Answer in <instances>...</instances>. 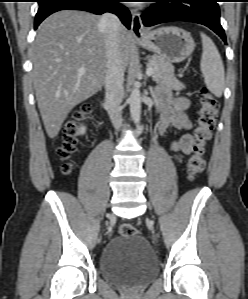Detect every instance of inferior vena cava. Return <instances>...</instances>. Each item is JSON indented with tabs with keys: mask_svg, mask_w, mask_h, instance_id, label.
Segmentation results:
<instances>
[{
	"mask_svg": "<svg viewBox=\"0 0 248 299\" xmlns=\"http://www.w3.org/2000/svg\"><path fill=\"white\" fill-rule=\"evenodd\" d=\"M120 20L111 13L102 15L99 28L103 31L106 44L107 71L105 78L106 104L111 122L116 129L122 124L123 83L124 71L119 57V28Z\"/></svg>",
	"mask_w": 248,
	"mask_h": 299,
	"instance_id": "obj_1",
	"label": "inferior vena cava"
}]
</instances>
